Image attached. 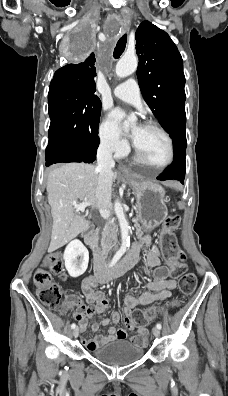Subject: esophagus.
Returning <instances> with one entry per match:
<instances>
[{"label":"esophagus","instance_id":"1","mask_svg":"<svg viewBox=\"0 0 228 396\" xmlns=\"http://www.w3.org/2000/svg\"><path fill=\"white\" fill-rule=\"evenodd\" d=\"M121 14L126 20H128L131 16V10L129 8H124L121 10ZM119 170H121L125 174H132V171L124 165H119Z\"/></svg>","mask_w":228,"mask_h":396}]
</instances>
